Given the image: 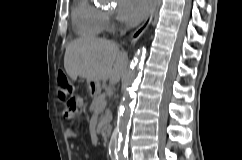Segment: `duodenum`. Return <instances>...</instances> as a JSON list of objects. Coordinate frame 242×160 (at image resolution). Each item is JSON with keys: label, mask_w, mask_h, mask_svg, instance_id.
Returning <instances> with one entry per match:
<instances>
[{"label": "duodenum", "mask_w": 242, "mask_h": 160, "mask_svg": "<svg viewBox=\"0 0 242 160\" xmlns=\"http://www.w3.org/2000/svg\"><path fill=\"white\" fill-rule=\"evenodd\" d=\"M111 134V127L109 125H104L100 128V135L103 138H108Z\"/></svg>", "instance_id": "obj_1"}]
</instances>
